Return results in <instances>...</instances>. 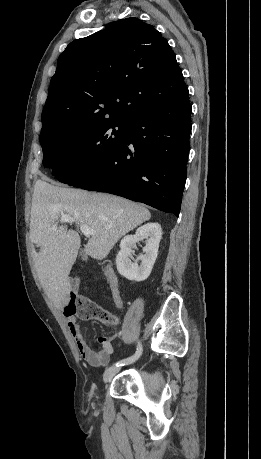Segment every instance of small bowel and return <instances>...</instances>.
I'll use <instances>...</instances> for the list:
<instances>
[{
  "label": "small bowel",
  "mask_w": 261,
  "mask_h": 459,
  "mask_svg": "<svg viewBox=\"0 0 261 459\" xmlns=\"http://www.w3.org/2000/svg\"><path fill=\"white\" fill-rule=\"evenodd\" d=\"M104 270L109 279L110 290L112 292L114 303L119 309H123L124 302L118 287L117 279L109 266L104 265ZM67 325L71 335L76 342V346L80 355L85 361H87L88 364L94 367H99L105 366L109 363L114 352L113 346L111 344L113 336L100 337L98 339L100 350L95 351L89 346L85 333L74 318H70ZM120 345L121 338L118 346Z\"/></svg>",
  "instance_id": "1"
}]
</instances>
